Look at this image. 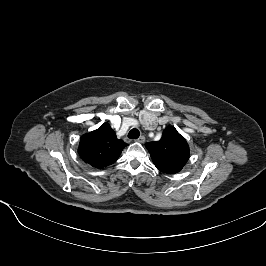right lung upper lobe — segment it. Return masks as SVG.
<instances>
[{
	"label": "right lung upper lobe",
	"instance_id": "obj_1",
	"mask_svg": "<svg viewBox=\"0 0 266 266\" xmlns=\"http://www.w3.org/2000/svg\"><path fill=\"white\" fill-rule=\"evenodd\" d=\"M125 146L127 144L116 137L109 124L104 123L81 137L78 153L92 167L101 169L114 163Z\"/></svg>",
	"mask_w": 266,
	"mask_h": 266
}]
</instances>
